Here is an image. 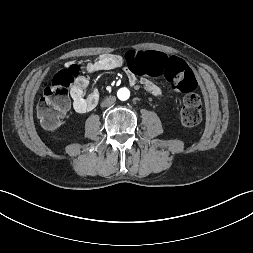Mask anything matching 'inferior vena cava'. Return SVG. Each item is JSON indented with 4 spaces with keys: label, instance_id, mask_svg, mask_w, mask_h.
<instances>
[{
    "label": "inferior vena cava",
    "instance_id": "602c4592",
    "mask_svg": "<svg viewBox=\"0 0 253 253\" xmlns=\"http://www.w3.org/2000/svg\"><path fill=\"white\" fill-rule=\"evenodd\" d=\"M115 97H110V98H107L106 100H104L102 103H101V106L102 107H108V106H111L114 102H115Z\"/></svg>",
    "mask_w": 253,
    "mask_h": 253
}]
</instances>
